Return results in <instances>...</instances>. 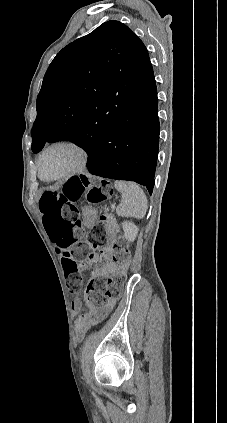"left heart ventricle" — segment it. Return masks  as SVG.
<instances>
[{
  "mask_svg": "<svg viewBox=\"0 0 227 423\" xmlns=\"http://www.w3.org/2000/svg\"><path fill=\"white\" fill-rule=\"evenodd\" d=\"M76 151L68 147H56L45 153L42 159L43 174L52 178L69 171L78 162Z\"/></svg>",
  "mask_w": 227,
  "mask_h": 423,
  "instance_id": "left-heart-ventricle-1",
  "label": "left heart ventricle"
}]
</instances>
